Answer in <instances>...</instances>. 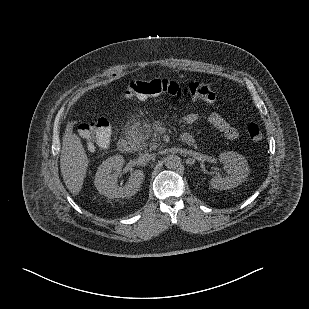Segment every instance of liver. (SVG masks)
<instances>
[{"label": "liver", "mask_w": 309, "mask_h": 309, "mask_svg": "<svg viewBox=\"0 0 309 309\" xmlns=\"http://www.w3.org/2000/svg\"><path fill=\"white\" fill-rule=\"evenodd\" d=\"M73 124L68 123L63 135L60 168L66 187L76 195L82 188L89 160L80 138L73 133Z\"/></svg>", "instance_id": "obj_1"}]
</instances>
